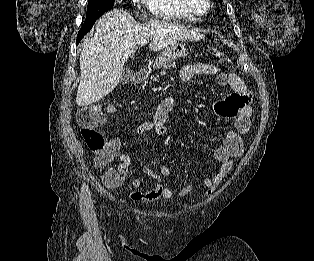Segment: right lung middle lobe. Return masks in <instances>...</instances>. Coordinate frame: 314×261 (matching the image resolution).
Masks as SVG:
<instances>
[{
	"instance_id": "obj_1",
	"label": "right lung middle lobe",
	"mask_w": 314,
	"mask_h": 261,
	"mask_svg": "<svg viewBox=\"0 0 314 261\" xmlns=\"http://www.w3.org/2000/svg\"><path fill=\"white\" fill-rule=\"evenodd\" d=\"M115 0H88L87 15L83 25L95 22L106 11L113 8Z\"/></svg>"
}]
</instances>
